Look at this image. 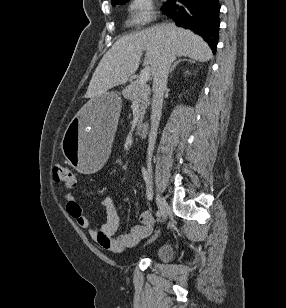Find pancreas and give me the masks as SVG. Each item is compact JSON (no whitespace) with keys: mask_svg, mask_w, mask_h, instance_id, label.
Wrapping results in <instances>:
<instances>
[{"mask_svg":"<svg viewBox=\"0 0 286 308\" xmlns=\"http://www.w3.org/2000/svg\"><path fill=\"white\" fill-rule=\"evenodd\" d=\"M149 85L141 84L138 80L131 83L122 91L124 98L134 101L139 107V114L137 123L140 124L144 118L145 110L149 106V96H150Z\"/></svg>","mask_w":286,"mask_h":308,"instance_id":"cf45deb5","label":"pancreas"}]
</instances>
